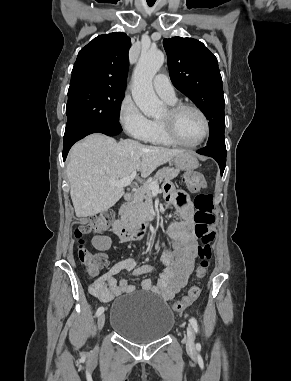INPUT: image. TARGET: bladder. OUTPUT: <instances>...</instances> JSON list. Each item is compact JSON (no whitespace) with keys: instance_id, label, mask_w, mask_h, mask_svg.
<instances>
[{"instance_id":"1","label":"bladder","mask_w":291,"mask_h":381,"mask_svg":"<svg viewBox=\"0 0 291 381\" xmlns=\"http://www.w3.org/2000/svg\"><path fill=\"white\" fill-rule=\"evenodd\" d=\"M175 317L161 298L130 292L116 299L110 310V328L123 338L147 343L166 337Z\"/></svg>"}]
</instances>
